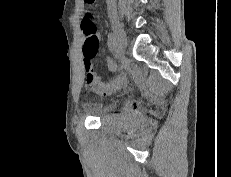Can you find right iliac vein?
I'll return each mask as SVG.
<instances>
[{
  "instance_id": "right-iliac-vein-1",
  "label": "right iliac vein",
  "mask_w": 231,
  "mask_h": 177,
  "mask_svg": "<svg viewBox=\"0 0 231 177\" xmlns=\"http://www.w3.org/2000/svg\"><path fill=\"white\" fill-rule=\"evenodd\" d=\"M109 17L112 22L113 30H114L116 56L119 59H122L125 50V42H126L125 35L117 19L116 13L114 11H111L109 13Z\"/></svg>"
}]
</instances>
